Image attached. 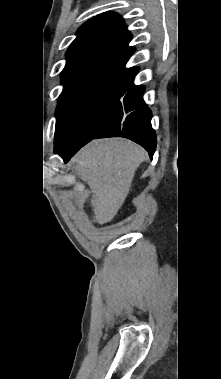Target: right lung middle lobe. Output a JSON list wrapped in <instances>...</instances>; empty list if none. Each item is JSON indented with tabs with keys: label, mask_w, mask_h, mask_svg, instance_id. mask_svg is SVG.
Listing matches in <instances>:
<instances>
[{
	"label": "right lung middle lobe",
	"mask_w": 221,
	"mask_h": 379,
	"mask_svg": "<svg viewBox=\"0 0 221 379\" xmlns=\"http://www.w3.org/2000/svg\"><path fill=\"white\" fill-rule=\"evenodd\" d=\"M122 81L97 80L62 92L56 109L55 141L93 138L121 98Z\"/></svg>",
	"instance_id": "obj_1"
}]
</instances>
